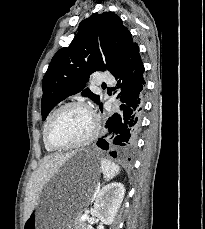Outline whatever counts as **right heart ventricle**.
Segmentation results:
<instances>
[{
  "instance_id": "obj_1",
  "label": "right heart ventricle",
  "mask_w": 205,
  "mask_h": 229,
  "mask_svg": "<svg viewBox=\"0 0 205 229\" xmlns=\"http://www.w3.org/2000/svg\"><path fill=\"white\" fill-rule=\"evenodd\" d=\"M56 110H53L47 117V119L45 120L44 124H43V129H42V138H43V142H44V146H45V149L48 151V152H52L54 151L52 148H50L48 146V144L46 143V139H45V133H46V129H47V126H48V123L53 115V113L55 112Z\"/></svg>"
}]
</instances>
